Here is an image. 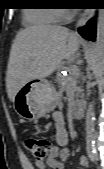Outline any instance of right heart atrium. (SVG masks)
<instances>
[{
    "mask_svg": "<svg viewBox=\"0 0 104 169\" xmlns=\"http://www.w3.org/2000/svg\"><path fill=\"white\" fill-rule=\"evenodd\" d=\"M60 11V18L61 19H65L67 17H69V10L68 9H61Z\"/></svg>",
    "mask_w": 104,
    "mask_h": 169,
    "instance_id": "d8ad5b80",
    "label": "right heart atrium"
}]
</instances>
